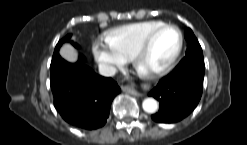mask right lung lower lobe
Here are the masks:
<instances>
[{
    "mask_svg": "<svg viewBox=\"0 0 247 145\" xmlns=\"http://www.w3.org/2000/svg\"><path fill=\"white\" fill-rule=\"evenodd\" d=\"M80 56L77 63H68L53 57L50 85L54 105L63 119L79 128L102 127L109 116L113 98L120 93L117 83L105 78L83 64Z\"/></svg>",
    "mask_w": 247,
    "mask_h": 145,
    "instance_id": "right-lung-lower-lobe-1",
    "label": "right lung lower lobe"
}]
</instances>
